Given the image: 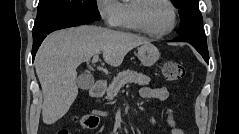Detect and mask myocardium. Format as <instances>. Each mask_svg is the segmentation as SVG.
<instances>
[{
    "mask_svg": "<svg viewBox=\"0 0 239 134\" xmlns=\"http://www.w3.org/2000/svg\"><path fill=\"white\" fill-rule=\"evenodd\" d=\"M153 0H136V2L133 5L132 8V16H133V20L134 23L136 25V27L138 28V30H140L141 32L150 35V36H155V37H163L166 35H169L170 33H172L176 26H177V11L173 5V3L169 0H159L164 2L170 9L171 14H172V23L170 25V27L164 31H153L151 30L144 19V10L147 7V5L149 4V2H151Z\"/></svg>",
    "mask_w": 239,
    "mask_h": 134,
    "instance_id": "obj_1",
    "label": "myocardium"
}]
</instances>
